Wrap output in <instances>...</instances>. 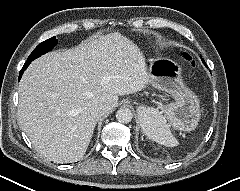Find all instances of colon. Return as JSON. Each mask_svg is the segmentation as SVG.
I'll return each mask as SVG.
<instances>
[{
    "mask_svg": "<svg viewBox=\"0 0 240 191\" xmlns=\"http://www.w3.org/2000/svg\"><path fill=\"white\" fill-rule=\"evenodd\" d=\"M182 57L184 58V60H186L187 62H189L193 67L196 66V61L194 60V58L191 56L190 53H188V52H183V53H182Z\"/></svg>",
    "mask_w": 240,
    "mask_h": 191,
    "instance_id": "5ec220e1",
    "label": "colon"
}]
</instances>
